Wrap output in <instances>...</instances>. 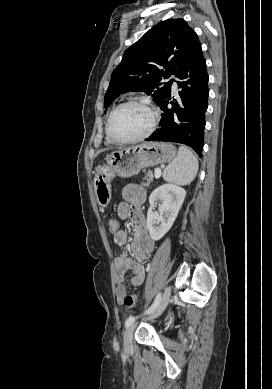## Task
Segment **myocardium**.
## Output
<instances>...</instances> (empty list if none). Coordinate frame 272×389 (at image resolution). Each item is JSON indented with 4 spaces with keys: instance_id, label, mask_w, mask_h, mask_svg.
<instances>
[{
    "instance_id": "obj_1",
    "label": "myocardium",
    "mask_w": 272,
    "mask_h": 389,
    "mask_svg": "<svg viewBox=\"0 0 272 389\" xmlns=\"http://www.w3.org/2000/svg\"><path fill=\"white\" fill-rule=\"evenodd\" d=\"M127 105H139V106L145 108L149 112L151 120H150L149 127L142 134L131 137V138L121 139V138L116 137L113 134L112 129H111V122H112L114 115L117 113V111L120 110L121 108L127 106ZM157 122H158V113H157L156 109L149 102H147L146 100H143V99H139V98H131V99H128V100L120 103L111 111V113L107 119V123H106V132H107V135L109 136V138L115 143H120V144L133 143V142L143 140V139L147 138L148 136H150L153 133V131L155 130Z\"/></svg>"
}]
</instances>
